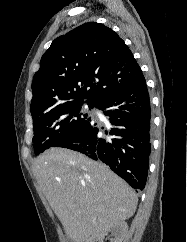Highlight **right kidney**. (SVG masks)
Instances as JSON below:
<instances>
[{"instance_id":"ca27d5eb","label":"right kidney","mask_w":187,"mask_h":242,"mask_svg":"<svg viewBox=\"0 0 187 242\" xmlns=\"http://www.w3.org/2000/svg\"><path fill=\"white\" fill-rule=\"evenodd\" d=\"M108 231H110L114 237L111 239V242H123L128 232V225L123 221L112 226ZM108 231L93 235L86 242H103V239Z\"/></svg>"}]
</instances>
